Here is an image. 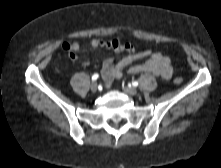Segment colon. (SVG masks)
<instances>
[{"label":"colon","mask_w":221,"mask_h":168,"mask_svg":"<svg viewBox=\"0 0 221 168\" xmlns=\"http://www.w3.org/2000/svg\"><path fill=\"white\" fill-rule=\"evenodd\" d=\"M174 83H176V84L182 83V78L181 77H175L174 78Z\"/></svg>","instance_id":"colon-1"}]
</instances>
